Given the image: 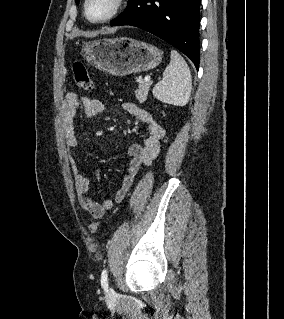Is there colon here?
<instances>
[{"instance_id":"5ec220e1","label":"colon","mask_w":284,"mask_h":319,"mask_svg":"<svg viewBox=\"0 0 284 319\" xmlns=\"http://www.w3.org/2000/svg\"><path fill=\"white\" fill-rule=\"evenodd\" d=\"M73 81L77 88L90 91L93 88L92 80L86 66L82 62H75L72 65ZM100 226L99 222H92L89 225V231L95 233Z\"/></svg>"}]
</instances>
